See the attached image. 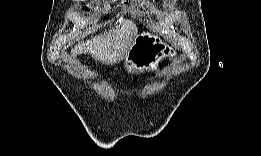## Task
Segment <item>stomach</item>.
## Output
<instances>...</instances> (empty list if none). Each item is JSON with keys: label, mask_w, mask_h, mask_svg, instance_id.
<instances>
[{"label": "stomach", "mask_w": 261, "mask_h": 156, "mask_svg": "<svg viewBox=\"0 0 261 156\" xmlns=\"http://www.w3.org/2000/svg\"><path fill=\"white\" fill-rule=\"evenodd\" d=\"M158 40L155 36L145 32L135 36L126 57L130 70L155 69L162 57L168 54L173 55V51L164 49L166 47Z\"/></svg>", "instance_id": "stomach-1"}]
</instances>
